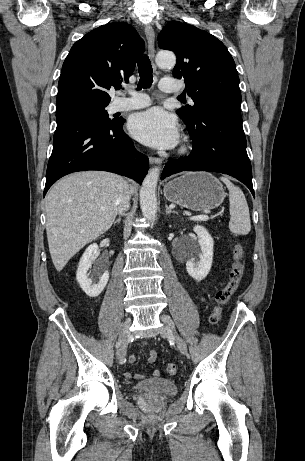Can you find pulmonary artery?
I'll return each instance as SVG.
<instances>
[{"label": "pulmonary artery", "mask_w": 305, "mask_h": 461, "mask_svg": "<svg viewBox=\"0 0 305 461\" xmlns=\"http://www.w3.org/2000/svg\"><path fill=\"white\" fill-rule=\"evenodd\" d=\"M160 90L166 93H175L180 91V86L175 83L173 78H163L160 82ZM130 97H120L113 101V111H127L144 108L150 105V99L147 95L139 92H129Z\"/></svg>", "instance_id": "obj_1"}]
</instances>
